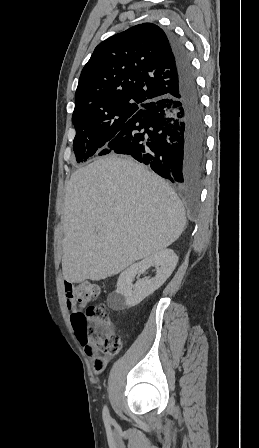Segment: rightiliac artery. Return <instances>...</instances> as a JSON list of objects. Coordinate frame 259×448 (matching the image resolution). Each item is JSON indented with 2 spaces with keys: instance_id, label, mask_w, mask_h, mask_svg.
Masks as SVG:
<instances>
[{
  "instance_id": "obj_1",
  "label": "right iliac artery",
  "mask_w": 259,
  "mask_h": 448,
  "mask_svg": "<svg viewBox=\"0 0 259 448\" xmlns=\"http://www.w3.org/2000/svg\"><path fill=\"white\" fill-rule=\"evenodd\" d=\"M103 419H104L105 423H109L112 420L110 415H109V411H108L107 406H104V408H103Z\"/></svg>"
}]
</instances>
